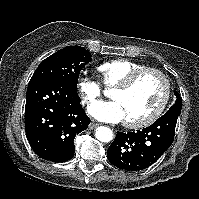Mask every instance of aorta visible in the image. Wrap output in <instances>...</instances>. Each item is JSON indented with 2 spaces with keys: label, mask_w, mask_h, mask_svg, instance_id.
Here are the masks:
<instances>
[{
  "label": "aorta",
  "mask_w": 199,
  "mask_h": 199,
  "mask_svg": "<svg viewBox=\"0 0 199 199\" xmlns=\"http://www.w3.org/2000/svg\"><path fill=\"white\" fill-rule=\"evenodd\" d=\"M95 137L101 142H110L113 138V132L108 127L100 126L95 130Z\"/></svg>",
  "instance_id": "obj_1"
}]
</instances>
